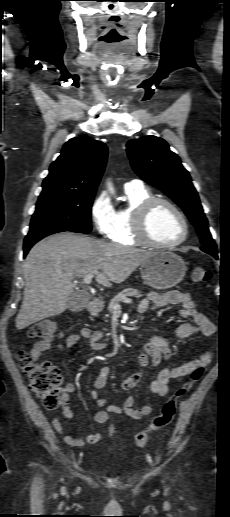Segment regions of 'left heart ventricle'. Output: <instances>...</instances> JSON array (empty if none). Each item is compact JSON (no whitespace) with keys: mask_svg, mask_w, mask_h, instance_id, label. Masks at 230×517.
<instances>
[{"mask_svg":"<svg viewBox=\"0 0 230 517\" xmlns=\"http://www.w3.org/2000/svg\"><path fill=\"white\" fill-rule=\"evenodd\" d=\"M151 237L161 243H170L178 240L184 231L182 221L167 205H157L148 221Z\"/></svg>","mask_w":230,"mask_h":517,"instance_id":"obj_1","label":"left heart ventricle"}]
</instances>
